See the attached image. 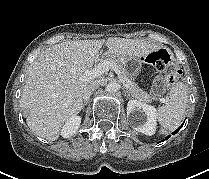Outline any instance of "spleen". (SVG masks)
Returning a JSON list of instances; mask_svg holds the SVG:
<instances>
[{
	"label": "spleen",
	"instance_id": "3e777b00",
	"mask_svg": "<svg viewBox=\"0 0 209 179\" xmlns=\"http://www.w3.org/2000/svg\"><path fill=\"white\" fill-rule=\"evenodd\" d=\"M188 100L187 87L183 82L175 83L166 98V104L159 107L157 120L166 131L175 130L181 123Z\"/></svg>",
	"mask_w": 209,
	"mask_h": 179
}]
</instances>
